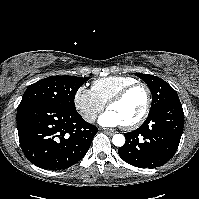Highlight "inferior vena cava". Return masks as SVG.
I'll return each instance as SVG.
<instances>
[{"instance_id":"obj_1","label":"inferior vena cava","mask_w":199,"mask_h":199,"mask_svg":"<svg viewBox=\"0 0 199 199\" xmlns=\"http://www.w3.org/2000/svg\"><path fill=\"white\" fill-rule=\"evenodd\" d=\"M96 117H97L96 113H93V112L86 113V114L84 115L85 121L90 122V123L95 122Z\"/></svg>"}]
</instances>
